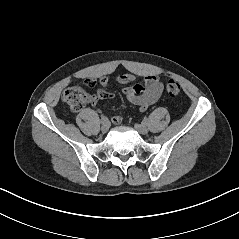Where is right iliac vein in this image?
<instances>
[{"instance_id":"obj_1","label":"right iliac vein","mask_w":239,"mask_h":239,"mask_svg":"<svg viewBox=\"0 0 239 239\" xmlns=\"http://www.w3.org/2000/svg\"><path fill=\"white\" fill-rule=\"evenodd\" d=\"M109 130V125L107 123L102 124L101 131L106 133Z\"/></svg>"}]
</instances>
